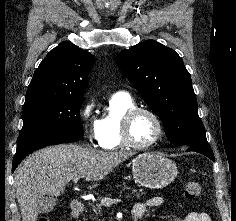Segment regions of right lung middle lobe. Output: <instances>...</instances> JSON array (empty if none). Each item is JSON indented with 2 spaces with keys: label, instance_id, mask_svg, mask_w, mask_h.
<instances>
[{
  "label": "right lung middle lobe",
  "instance_id": "1",
  "mask_svg": "<svg viewBox=\"0 0 236 221\" xmlns=\"http://www.w3.org/2000/svg\"><path fill=\"white\" fill-rule=\"evenodd\" d=\"M82 96L26 95L23 128L18 140L37 134L83 136L80 121Z\"/></svg>",
  "mask_w": 236,
  "mask_h": 221
}]
</instances>
